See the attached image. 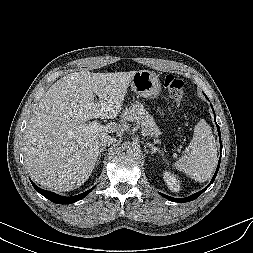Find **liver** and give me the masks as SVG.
Returning a JSON list of instances; mask_svg holds the SVG:
<instances>
[{
	"label": "liver",
	"mask_w": 253,
	"mask_h": 253,
	"mask_svg": "<svg viewBox=\"0 0 253 253\" xmlns=\"http://www.w3.org/2000/svg\"><path fill=\"white\" fill-rule=\"evenodd\" d=\"M135 72H74L45 92L24 135L25 162L37 183L62 192L88 180L99 156L100 138L117 132L120 125L109 123L95 131L86 122L118 116Z\"/></svg>",
	"instance_id": "1"
}]
</instances>
